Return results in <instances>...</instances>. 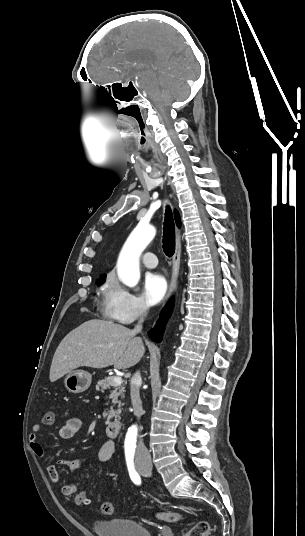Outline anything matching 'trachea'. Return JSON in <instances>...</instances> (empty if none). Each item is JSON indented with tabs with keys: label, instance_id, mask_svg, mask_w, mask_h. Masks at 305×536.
I'll return each mask as SVG.
<instances>
[{
	"label": "trachea",
	"instance_id": "trachea-1",
	"mask_svg": "<svg viewBox=\"0 0 305 536\" xmlns=\"http://www.w3.org/2000/svg\"><path fill=\"white\" fill-rule=\"evenodd\" d=\"M162 248L169 258L175 253V224L171 208L166 206L165 220L163 227Z\"/></svg>",
	"mask_w": 305,
	"mask_h": 536
}]
</instances>
